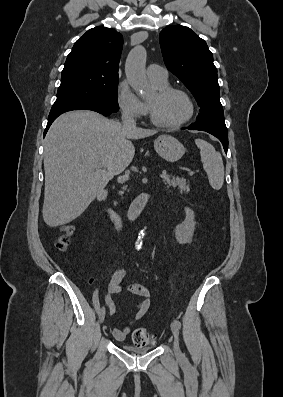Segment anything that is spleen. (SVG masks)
<instances>
[{"instance_id":"spleen-1","label":"spleen","mask_w":283,"mask_h":397,"mask_svg":"<svg viewBox=\"0 0 283 397\" xmlns=\"http://www.w3.org/2000/svg\"><path fill=\"white\" fill-rule=\"evenodd\" d=\"M195 144L200 149L203 168L208 175L211 187L215 190L221 189L224 182V165L221 154L205 140L198 138L195 140Z\"/></svg>"}]
</instances>
